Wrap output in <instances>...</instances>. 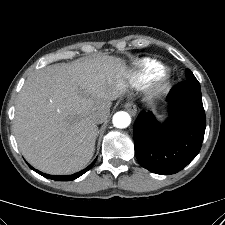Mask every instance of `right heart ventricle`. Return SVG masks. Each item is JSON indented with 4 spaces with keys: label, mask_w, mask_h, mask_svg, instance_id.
Masks as SVG:
<instances>
[{
    "label": "right heart ventricle",
    "mask_w": 225,
    "mask_h": 225,
    "mask_svg": "<svg viewBox=\"0 0 225 225\" xmlns=\"http://www.w3.org/2000/svg\"><path fill=\"white\" fill-rule=\"evenodd\" d=\"M165 72V67L153 59H143L139 62L133 77V85L142 87L159 79Z\"/></svg>",
    "instance_id": "1"
}]
</instances>
